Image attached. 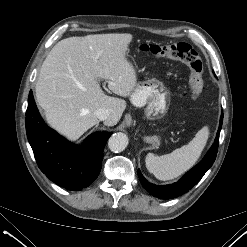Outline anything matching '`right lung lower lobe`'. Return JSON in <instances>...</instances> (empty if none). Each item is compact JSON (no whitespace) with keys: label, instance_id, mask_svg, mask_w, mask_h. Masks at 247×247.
I'll return each instance as SVG.
<instances>
[{"label":"right lung lower lobe","instance_id":"obj_1","mask_svg":"<svg viewBox=\"0 0 247 247\" xmlns=\"http://www.w3.org/2000/svg\"><path fill=\"white\" fill-rule=\"evenodd\" d=\"M26 132L41 171L55 184L72 191L89 186L99 175L105 144L112 133L91 135L82 146L73 145L49 128L28 97Z\"/></svg>","mask_w":247,"mask_h":247}]
</instances>
